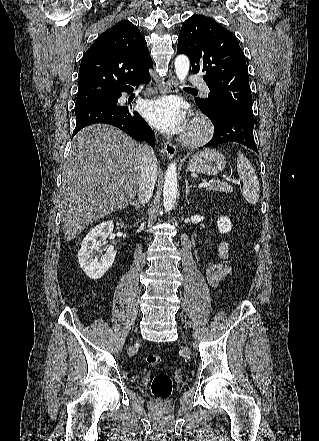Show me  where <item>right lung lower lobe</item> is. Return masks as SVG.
Returning <instances> with one entry per match:
<instances>
[{"mask_svg": "<svg viewBox=\"0 0 319 441\" xmlns=\"http://www.w3.org/2000/svg\"><path fill=\"white\" fill-rule=\"evenodd\" d=\"M149 81L150 74L121 92L131 93L133 86L148 83ZM121 92L107 100L92 103L75 110L76 127L72 137L85 126L95 123H106L120 128L135 140L146 141L151 146H154V132L148 124L132 108L117 105Z\"/></svg>", "mask_w": 319, "mask_h": 441, "instance_id": "right-lung-lower-lobe-1", "label": "right lung lower lobe"}]
</instances>
